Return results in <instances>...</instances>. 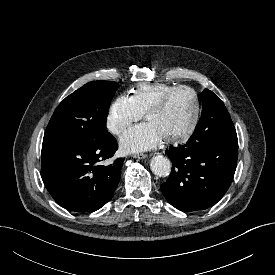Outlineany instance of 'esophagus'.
I'll list each match as a JSON object with an SVG mask.
<instances>
[{"label": "esophagus", "instance_id": "esophagus-1", "mask_svg": "<svg viewBox=\"0 0 275 275\" xmlns=\"http://www.w3.org/2000/svg\"><path fill=\"white\" fill-rule=\"evenodd\" d=\"M133 157L137 159H144L147 157V155L143 153H137V154H133Z\"/></svg>", "mask_w": 275, "mask_h": 275}]
</instances>
